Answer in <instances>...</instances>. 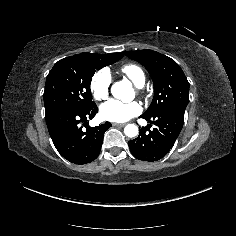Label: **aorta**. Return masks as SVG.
I'll return each instance as SVG.
<instances>
[{"label": "aorta", "instance_id": "obj_1", "mask_svg": "<svg viewBox=\"0 0 236 236\" xmlns=\"http://www.w3.org/2000/svg\"><path fill=\"white\" fill-rule=\"evenodd\" d=\"M120 82L115 83L112 86V93L114 91V88L119 85ZM124 133L127 137L133 138L138 135V127L135 124H128L124 128Z\"/></svg>", "mask_w": 236, "mask_h": 236}]
</instances>
